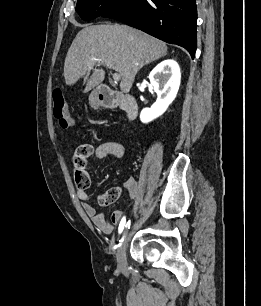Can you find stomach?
Segmentation results:
<instances>
[{"label":"stomach","instance_id":"obj_1","mask_svg":"<svg viewBox=\"0 0 261 306\" xmlns=\"http://www.w3.org/2000/svg\"><path fill=\"white\" fill-rule=\"evenodd\" d=\"M89 102L93 108H98L101 105V101H100L99 94L97 93V91H93L90 94Z\"/></svg>","mask_w":261,"mask_h":306}]
</instances>
